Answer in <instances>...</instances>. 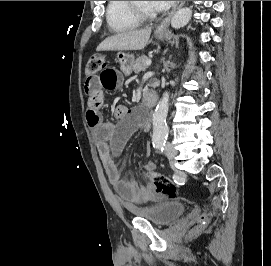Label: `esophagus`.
I'll list each match as a JSON object with an SVG mask.
<instances>
[{"label":"esophagus","instance_id":"esophagus-1","mask_svg":"<svg viewBox=\"0 0 271 266\" xmlns=\"http://www.w3.org/2000/svg\"><path fill=\"white\" fill-rule=\"evenodd\" d=\"M185 1H178L177 4L174 6V8L171 10V12L168 14V16L161 22V24L156 28L157 33H163L165 32L170 24L171 18L174 15V13L180 9L184 5Z\"/></svg>","mask_w":271,"mask_h":266}]
</instances>
